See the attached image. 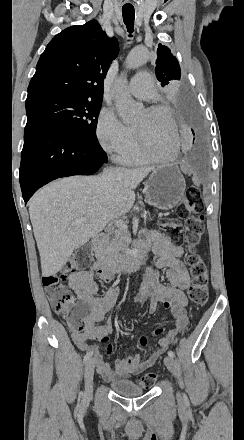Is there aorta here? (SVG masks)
Instances as JSON below:
<instances>
[{
  "label": "aorta",
  "mask_w": 244,
  "mask_h": 440,
  "mask_svg": "<svg viewBox=\"0 0 244 440\" xmlns=\"http://www.w3.org/2000/svg\"><path fill=\"white\" fill-rule=\"evenodd\" d=\"M149 53L144 47H136L130 51L126 58V67L135 69L146 63ZM115 106L122 121L131 124L139 117L143 105L136 102L127 91V80L120 77L114 84Z\"/></svg>",
  "instance_id": "obj_1"
}]
</instances>
